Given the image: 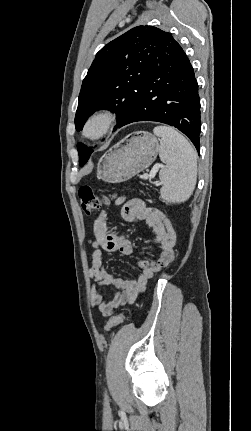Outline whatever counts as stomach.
Returning <instances> with one entry per match:
<instances>
[{
  "label": "stomach",
  "mask_w": 251,
  "mask_h": 431,
  "mask_svg": "<svg viewBox=\"0 0 251 431\" xmlns=\"http://www.w3.org/2000/svg\"><path fill=\"white\" fill-rule=\"evenodd\" d=\"M159 148L158 140L151 133L134 132L101 157L97 175L107 183L127 181L155 161Z\"/></svg>",
  "instance_id": "0dacf381"
}]
</instances>
